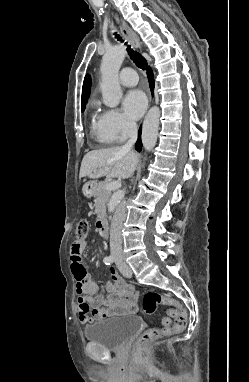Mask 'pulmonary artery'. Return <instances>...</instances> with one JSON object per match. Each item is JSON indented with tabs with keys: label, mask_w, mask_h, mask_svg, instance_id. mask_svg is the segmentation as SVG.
<instances>
[{
	"label": "pulmonary artery",
	"mask_w": 249,
	"mask_h": 382,
	"mask_svg": "<svg viewBox=\"0 0 249 382\" xmlns=\"http://www.w3.org/2000/svg\"><path fill=\"white\" fill-rule=\"evenodd\" d=\"M119 81L124 86H135L138 83V76L132 68H124L119 74Z\"/></svg>",
	"instance_id": "e3ab8cb5"
}]
</instances>
